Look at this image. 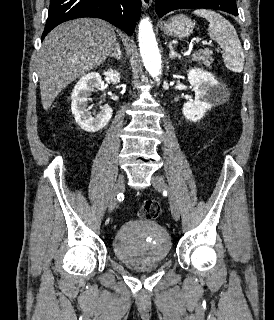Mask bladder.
<instances>
[{
    "mask_svg": "<svg viewBox=\"0 0 274 320\" xmlns=\"http://www.w3.org/2000/svg\"><path fill=\"white\" fill-rule=\"evenodd\" d=\"M116 258L128 265L160 263L171 251L167 231L151 220H129L116 231L112 240Z\"/></svg>",
    "mask_w": 274,
    "mask_h": 320,
    "instance_id": "bladder-1",
    "label": "bladder"
}]
</instances>
